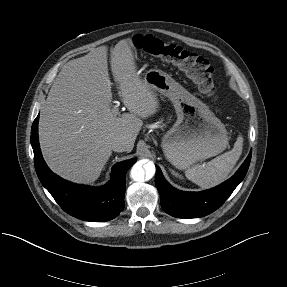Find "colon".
<instances>
[{"label":"colon","instance_id":"5ec220e1","mask_svg":"<svg viewBox=\"0 0 287 287\" xmlns=\"http://www.w3.org/2000/svg\"><path fill=\"white\" fill-rule=\"evenodd\" d=\"M133 43L149 55L176 65L196 84L201 93L209 98L216 97L213 68L204 57L153 35H138Z\"/></svg>","mask_w":287,"mask_h":287}]
</instances>
